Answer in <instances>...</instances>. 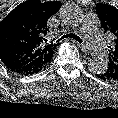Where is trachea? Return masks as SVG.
<instances>
[{"label":"trachea","mask_w":118,"mask_h":118,"mask_svg":"<svg viewBox=\"0 0 118 118\" xmlns=\"http://www.w3.org/2000/svg\"><path fill=\"white\" fill-rule=\"evenodd\" d=\"M66 38H71V39H74L75 41H77L79 43H82L81 38L79 36H77L76 34H72V33L63 35L59 40H57V42L60 40L66 39Z\"/></svg>","instance_id":"obj_1"}]
</instances>
